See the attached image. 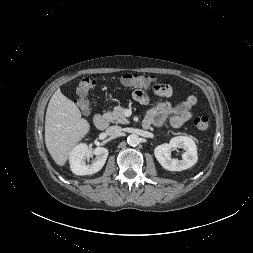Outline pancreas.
I'll return each instance as SVG.
<instances>
[{
	"instance_id": "cf45deb5",
	"label": "pancreas",
	"mask_w": 253,
	"mask_h": 253,
	"mask_svg": "<svg viewBox=\"0 0 253 253\" xmlns=\"http://www.w3.org/2000/svg\"><path fill=\"white\" fill-rule=\"evenodd\" d=\"M124 110V107L118 105L113 109L112 112L105 113L104 118L116 124H127L129 121L124 116Z\"/></svg>"
}]
</instances>
